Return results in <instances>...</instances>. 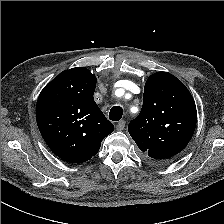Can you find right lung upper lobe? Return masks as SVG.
Returning a JSON list of instances; mask_svg holds the SVG:
<instances>
[{"label":"right lung upper lobe","instance_id":"1","mask_svg":"<svg viewBox=\"0 0 224 224\" xmlns=\"http://www.w3.org/2000/svg\"><path fill=\"white\" fill-rule=\"evenodd\" d=\"M95 87V75L77 67L61 72L39 95L38 128L52 152L64 161H88L114 131L94 101Z\"/></svg>","mask_w":224,"mask_h":224}]
</instances>
